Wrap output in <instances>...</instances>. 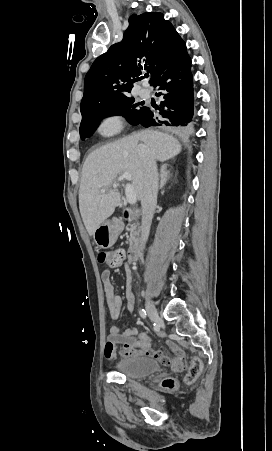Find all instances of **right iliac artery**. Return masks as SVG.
I'll list each match as a JSON object with an SVG mask.
<instances>
[{
	"mask_svg": "<svg viewBox=\"0 0 272 451\" xmlns=\"http://www.w3.org/2000/svg\"><path fill=\"white\" fill-rule=\"evenodd\" d=\"M139 314H140V316H141L143 319H146L147 313H146V311H145L144 309H141V310L139 311Z\"/></svg>",
	"mask_w": 272,
	"mask_h": 451,
	"instance_id": "obj_1",
	"label": "right iliac artery"
}]
</instances>
